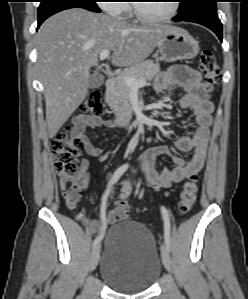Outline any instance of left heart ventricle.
<instances>
[{
    "instance_id": "left-heart-ventricle-1",
    "label": "left heart ventricle",
    "mask_w": 248,
    "mask_h": 299,
    "mask_svg": "<svg viewBox=\"0 0 248 299\" xmlns=\"http://www.w3.org/2000/svg\"><path fill=\"white\" fill-rule=\"evenodd\" d=\"M139 10L150 17H161L166 15L171 8V1H148L138 3Z\"/></svg>"
}]
</instances>
